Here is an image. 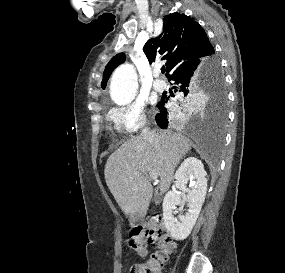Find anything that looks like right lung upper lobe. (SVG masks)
Instances as JSON below:
<instances>
[{
    "instance_id": "1",
    "label": "right lung upper lobe",
    "mask_w": 285,
    "mask_h": 273,
    "mask_svg": "<svg viewBox=\"0 0 285 273\" xmlns=\"http://www.w3.org/2000/svg\"><path fill=\"white\" fill-rule=\"evenodd\" d=\"M143 51L150 64L155 60H167L165 64L167 78L200 59L215 57L214 48L200 24L180 13L165 16L162 33L156 38L148 40ZM124 60V53H120L108 63L101 83L103 89L106 87L112 71Z\"/></svg>"
}]
</instances>
